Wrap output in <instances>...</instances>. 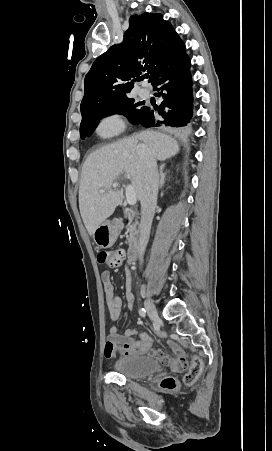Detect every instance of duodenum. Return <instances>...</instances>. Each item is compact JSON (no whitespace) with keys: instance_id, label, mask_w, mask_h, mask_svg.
Segmentation results:
<instances>
[{"instance_id":"410a0bca","label":"duodenum","mask_w":272,"mask_h":451,"mask_svg":"<svg viewBox=\"0 0 272 451\" xmlns=\"http://www.w3.org/2000/svg\"><path fill=\"white\" fill-rule=\"evenodd\" d=\"M138 257V247L136 245H132L128 249V258L131 261H135Z\"/></svg>"}]
</instances>
